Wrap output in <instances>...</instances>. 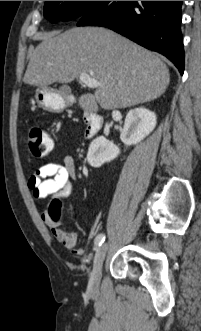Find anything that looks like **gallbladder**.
Returning <instances> with one entry per match:
<instances>
[{"instance_id":"bac80fb5","label":"gallbladder","mask_w":201,"mask_h":331,"mask_svg":"<svg viewBox=\"0 0 201 331\" xmlns=\"http://www.w3.org/2000/svg\"><path fill=\"white\" fill-rule=\"evenodd\" d=\"M58 93L63 96L64 98H67L70 93H71V90L70 88L67 86V85H62L60 88H59V91Z\"/></svg>"}]
</instances>
